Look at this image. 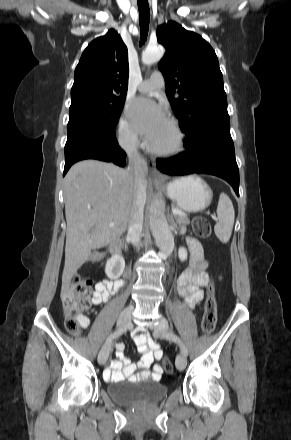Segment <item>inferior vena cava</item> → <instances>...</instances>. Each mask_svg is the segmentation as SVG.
<instances>
[{
    "label": "inferior vena cava",
    "instance_id": "obj_1",
    "mask_svg": "<svg viewBox=\"0 0 291 440\" xmlns=\"http://www.w3.org/2000/svg\"><path fill=\"white\" fill-rule=\"evenodd\" d=\"M128 170L134 174L136 190L130 212L128 224V236L134 246L139 247L143 227V212L146 202V175L148 166L146 160L141 157L136 147L128 152Z\"/></svg>",
    "mask_w": 291,
    "mask_h": 440
}]
</instances>
